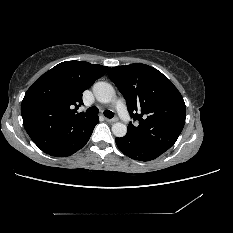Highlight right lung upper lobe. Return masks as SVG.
Wrapping results in <instances>:
<instances>
[{
    "label": "right lung upper lobe",
    "instance_id": "1",
    "mask_svg": "<svg viewBox=\"0 0 233 233\" xmlns=\"http://www.w3.org/2000/svg\"><path fill=\"white\" fill-rule=\"evenodd\" d=\"M108 67L85 61L62 62L38 78L21 104L24 127L45 153L55 154L73 144L94 117L76 114L82 92Z\"/></svg>",
    "mask_w": 233,
    "mask_h": 233
}]
</instances>
